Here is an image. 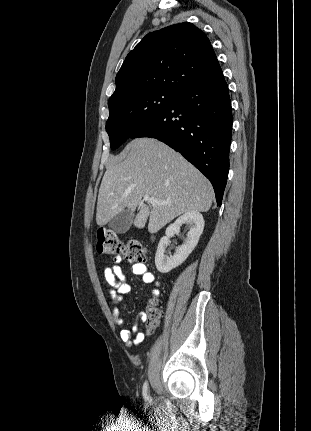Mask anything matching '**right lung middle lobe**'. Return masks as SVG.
Listing matches in <instances>:
<instances>
[{
    "label": "right lung middle lobe",
    "instance_id": "1",
    "mask_svg": "<svg viewBox=\"0 0 311 431\" xmlns=\"http://www.w3.org/2000/svg\"><path fill=\"white\" fill-rule=\"evenodd\" d=\"M178 95L161 90H142L109 99L110 115L106 131L111 148L117 149L139 128L170 106Z\"/></svg>",
    "mask_w": 311,
    "mask_h": 431
}]
</instances>
